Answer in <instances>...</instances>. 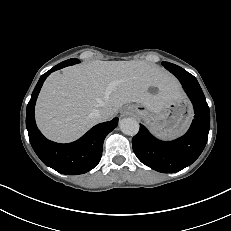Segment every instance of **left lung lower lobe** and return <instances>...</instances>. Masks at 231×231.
<instances>
[{
  "label": "left lung lower lobe",
  "mask_w": 231,
  "mask_h": 231,
  "mask_svg": "<svg viewBox=\"0 0 231 231\" xmlns=\"http://www.w3.org/2000/svg\"><path fill=\"white\" fill-rule=\"evenodd\" d=\"M181 82L194 107V120L187 133L170 142L160 141L143 126L132 139L137 158L162 173L178 172L191 165L202 153L210 129V111L196 78L182 69L167 68Z\"/></svg>",
  "instance_id": "left-lung-lower-lobe-1"
}]
</instances>
